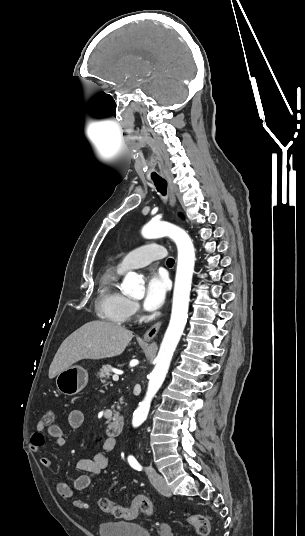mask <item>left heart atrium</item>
<instances>
[{
    "instance_id": "1",
    "label": "left heart atrium",
    "mask_w": 305,
    "mask_h": 536,
    "mask_svg": "<svg viewBox=\"0 0 305 536\" xmlns=\"http://www.w3.org/2000/svg\"><path fill=\"white\" fill-rule=\"evenodd\" d=\"M166 291L167 283L165 278L160 274H150L146 280L144 308L148 311L158 309L164 302Z\"/></svg>"
}]
</instances>
